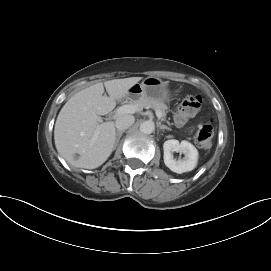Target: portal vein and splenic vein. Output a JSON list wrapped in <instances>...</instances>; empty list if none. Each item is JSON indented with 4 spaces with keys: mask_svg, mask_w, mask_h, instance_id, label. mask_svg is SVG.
I'll list each match as a JSON object with an SVG mask.
<instances>
[{
    "mask_svg": "<svg viewBox=\"0 0 271 271\" xmlns=\"http://www.w3.org/2000/svg\"><path fill=\"white\" fill-rule=\"evenodd\" d=\"M141 110L137 105L134 104H127L119 107L114 115V118L124 115V114H133L137 111ZM156 116L158 118L162 117V113L160 111H156ZM98 133L96 132L94 137H97Z\"/></svg>",
    "mask_w": 271,
    "mask_h": 271,
    "instance_id": "portal-vein-and-splenic-vein-1",
    "label": "portal vein and splenic vein"
}]
</instances>
